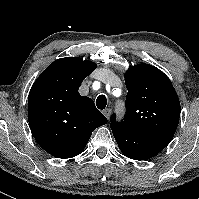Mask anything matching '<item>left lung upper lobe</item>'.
Instances as JSON below:
<instances>
[{"mask_svg": "<svg viewBox=\"0 0 199 199\" xmlns=\"http://www.w3.org/2000/svg\"><path fill=\"white\" fill-rule=\"evenodd\" d=\"M126 114L110 118L111 129L121 127L169 143L180 118V102L169 78L156 67L138 64L125 74Z\"/></svg>", "mask_w": 199, "mask_h": 199, "instance_id": "5c2ea615", "label": "left lung upper lobe"}]
</instances>
